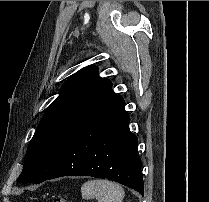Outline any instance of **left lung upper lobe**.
Returning a JSON list of instances; mask_svg holds the SVG:
<instances>
[{
  "label": "left lung upper lobe",
  "instance_id": "left-lung-upper-lobe-1",
  "mask_svg": "<svg viewBox=\"0 0 209 202\" xmlns=\"http://www.w3.org/2000/svg\"><path fill=\"white\" fill-rule=\"evenodd\" d=\"M111 87L94 66L82 68L64 83L29 143L19 182L39 184L51 175L81 125L117 97Z\"/></svg>",
  "mask_w": 209,
  "mask_h": 202
}]
</instances>
